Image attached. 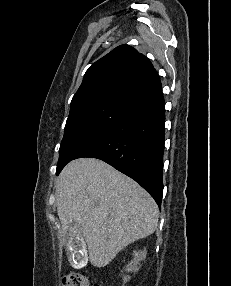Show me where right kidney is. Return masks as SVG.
Here are the masks:
<instances>
[{
	"label": "right kidney",
	"mask_w": 231,
	"mask_h": 286,
	"mask_svg": "<svg viewBox=\"0 0 231 286\" xmlns=\"http://www.w3.org/2000/svg\"><path fill=\"white\" fill-rule=\"evenodd\" d=\"M146 254H147L146 249H144L142 251H134V259L130 263H128V265L126 266V270L128 272L138 271L139 262L146 258ZM129 279H130L129 276H125L123 279L124 283L129 281Z\"/></svg>",
	"instance_id": "obj_1"
}]
</instances>
